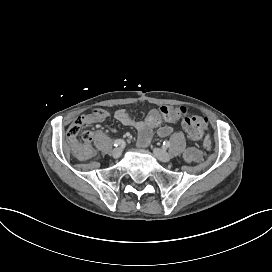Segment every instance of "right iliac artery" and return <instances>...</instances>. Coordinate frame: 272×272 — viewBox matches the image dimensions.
<instances>
[{
	"mask_svg": "<svg viewBox=\"0 0 272 272\" xmlns=\"http://www.w3.org/2000/svg\"><path fill=\"white\" fill-rule=\"evenodd\" d=\"M124 144H125V142H124L123 140H121V139H117V140H115L114 143H113V145H114L115 147H118V146L124 145Z\"/></svg>",
	"mask_w": 272,
	"mask_h": 272,
	"instance_id": "82829eb1",
	"label": "right iliac artery"
}]
</instances>
